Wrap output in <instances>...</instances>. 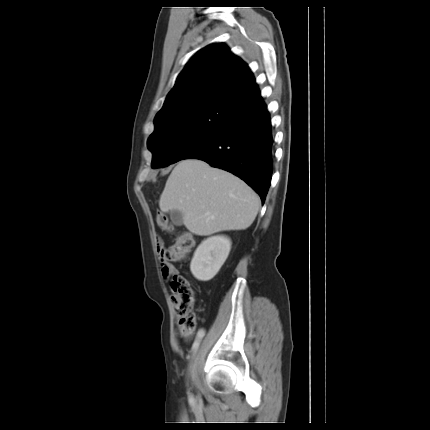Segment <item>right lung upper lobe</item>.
<instances>
[{
	"label": "right lung upper lobe",
	"instance_id": "obj_1",
	"mask_svg": "<svg viewBox=\"0 0 430 430\" xmlns=\"http://www.w3.org/2000/svg\"><path fill=\"white\" fill-rule=\"evenodd\" d=\"M260 98L253 74L223 43L205 47L187 63L155 121L207 100H223L234 113Z\"/></svg>",
	"mask_w": 430,
	"mask_h": 430
}]
</instances>
